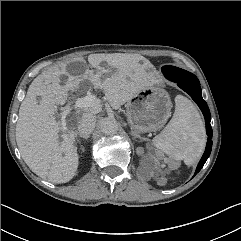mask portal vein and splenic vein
I'll return each instance as SVG.
<instances>
[{
    "instance_id": "18ae733b",
    "label": "portal vein and splenic vein",
    "mask_w": 241,
    "mask_h": 241,
    "mask_svg": "<svg viewBox=\"0 0 241 241\" xmlns=\"http://www.w3.org/2000/svg\"><path fill=\"white\" fill-rule=\"evenodd\" d=\"M75 108H89V107H95L96 109L101 110V106L99 104V101L95 98L93 95H87L83 98H79L74 105Z\"/></svg>"
}]
</instances>
